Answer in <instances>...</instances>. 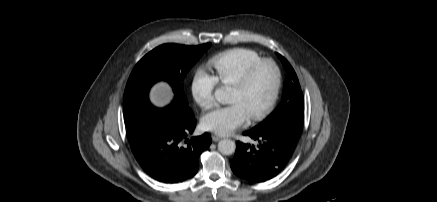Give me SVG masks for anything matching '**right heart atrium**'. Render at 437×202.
I'll return each instance as SVG.
<instances>
[{
    "label": "right heart atrium",
    "mask_w": 437,
    "mask_h": 202,
    "mask_svg": "<svg viewBox=\"0 0 437 202\" xmlns=\"http://www.w3.org/2000/svg\"><path fill=\"white\" fill-rule=\"evenodd\" d=\"M218 85L216 77L199 67L194 72L191 81V95L197 105L203 109L211 108L214 103V91Z\"/></svg>",
    "instance_id": "d8ad5b80"
}]
</instances>
